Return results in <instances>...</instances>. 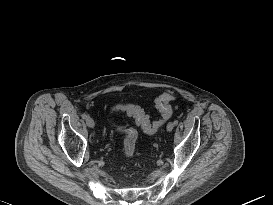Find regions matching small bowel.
<instances>
[{
  "label": "small bowel",
  "mask_w": 273,
  "mask_h": 205,
  "mask_svg": "<svg viewBox=\"0 0 273 205\" xmlns=\"http://www.w3.org/2000/svg\"><path fill=\"white\" fill-rule=\"evenodd\" d=\"M121 106H123V108L121 110L126 111L128 113L127 109L129 106H132V105H121Z\"/></svg>",
  "instance_id": "c3829d8e"
}]
</instances>
